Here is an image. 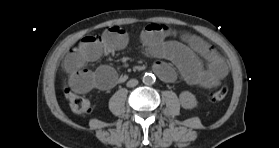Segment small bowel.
I'll list each match as a JSON object with an SVG mask.
<instances>
[{
    "label": "small bowel",
    "instance_id": "c3829d8e",
    "mask_svg": "<svg viewBox=\"0 0 279 148\" xmlns=\"http://www.w3.org/2000/svg\"><path fill=\"white\" fill-rule=\"evenodd\" d=\"M171 36H178L180 40L168 39ZM140 42L145 53L158 59L153 69L166 82L174 81L176 74L162 60L172 62L187 83L204 88L216 87L228 73L225 60L194 34L177 33L163 25L148 24L141 32ZM127 43L128 34L118 26L108 27L99 35L83 37L63 59L70 87L80 93L92 89L107 91L115 87L121 77L113 67L103 65L91 71L86 65L103 54H113L123 49Z\"/></svg>",
    "mask_w": 279,
    "mask_h": 148
}]
</instances>
